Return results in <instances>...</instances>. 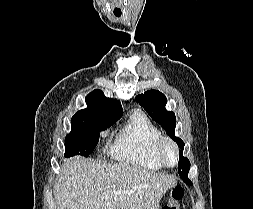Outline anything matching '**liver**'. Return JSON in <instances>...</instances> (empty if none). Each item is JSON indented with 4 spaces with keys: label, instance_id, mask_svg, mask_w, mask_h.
Segmentation results:
<instances>
[{
    "label": "liver",
    "instance_id": "6515ba94",
    "mask_svg": "<svg viewBox=\"0 0 253 209\" xmlns=\"http://www.w3.org/2000/svg\"><path fill=\"white\" fill-rule=\"evenodd\" d=\"M175 177L83 157L65 160L54 186L57 209H159Z\"/></svg>",
    "mask_w": 253,
    "mask_h": 209
}]
</instances>
